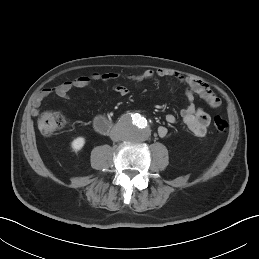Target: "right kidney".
Here are the masks:
<instances>
[{"instance_id":"1","label":"right kidney","mask_w":259,"mask_h":259,"mask_svg":"<svg viewBox=\"0 0 259 259\" xmlns=\"http://www.w3.org/2000/svg\"><path fill=\"white\" fill-rule=\"evenodd\" d=\"M85 144V138L77 137L71 142V147L74 151H79L83 148Z\"/></svg>"}]
</instances>
